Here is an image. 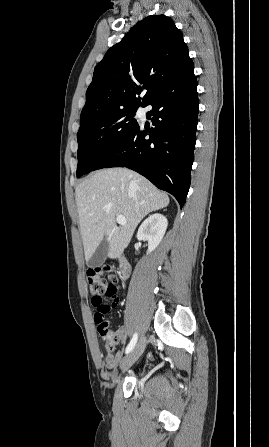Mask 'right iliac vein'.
<instances>
[{"label": "right iliac vein", "instance_id": "right-iliac-vein-1", "mask_svg": "<svg viewBox=\"0 0 269 447\" xmlns=\"http://www.w3.org/2000/svg\"><path fill=\"white\" fill-rule=\"evenodd\" d=\"M145 346L146 338L142 336L132 351L120 362L121 369L127 370L130 366H132L142 355Z\"/></svg>", "mask_w": 269, "mask_h": 447}]
</instances>
